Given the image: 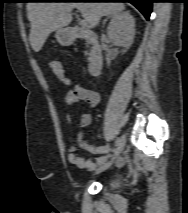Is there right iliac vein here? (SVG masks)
Segmentation results:
<instances>
[{
	"instance_id": "obj_1",
	"label": "right iliac vein",
	"mask_w": 188,
	"mask_h": 213,
	"mask_svg": "<svg viewBox=\"0 0 188 213\" xmlns=\"http://www.w3.org/2000/svg\"><path fill=\"white\" fill-rule=\"evenodd\" d=\"M124 146H125V137H124V136H121V137H120V141H119V143H118V145H117V147H116L115 156H114L113 160H114L116 157H118V156L120 155V153H121V152L123 151V149H124ZM113 160H112L111 162L107 163V164H104V165L100 166V167L96 170L95 173L98 174V173H100V172H102V171L108 169V168L111 166Z\"/></svg>"
}]
</instances>
